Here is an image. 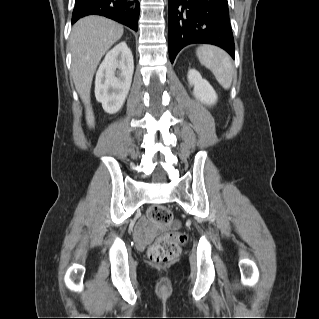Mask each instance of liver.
I'll use <instances>...</instances> for the list:
<instances>
[{
  "instance_id": "6515ba94",
  "label": "liver",
  "mask_w": 319,
  "mask_h": 319,
  "mask_svg": "<svg viewBox=\"0 0 319 319\" xmlns=\"http://www.w3.org/2000/svg\"><path fill=\"white\" fill-rule=\"evenodd\" d=\"M123 26L101 16H88L75 23L70 35L71 75L85 105L86 121L94 126L90 91L96 68L109 48L123 35Z\"/></svg>"
}]
</instances>
